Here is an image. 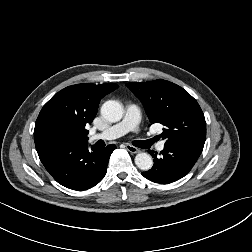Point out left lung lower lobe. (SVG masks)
Segmentation results:
<instances>
[{
	"instance_id": "obj_1",
	"label": "left lung lower lobe",
	"mask_w": 252,
	"mask_h": 252,
	"mask_svg": "<svg viewBox=\"0 0 252 252\" xmlns=\"http://www.w3.org/2000/svg\"><path fill=\"white\" fill-rule=\"evenodd\" d=\"M154 157L153 167L142 172L150 181L168 184L184 177L199 158L202 150L189 145L164 146L161 157L157 152L149 151Z\"/></svg>"
}]
</instances>
